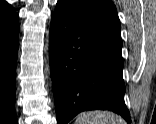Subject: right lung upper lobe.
Listing matches in <instances>:
<instances>
[{
	"label": "right lung upper lobe",
	"instance_id": "right-lung-upper-lobe-1",
	"mask_svg": "<svg viewBox=\"0 0 156 124\" xmlns=\"http://www.w3.org/2000/svg\"><path fill=\"white\" fill-rule=\"evenodd\" d=\"M18 26L17 13L14 12L7 2L0 0V29H11Z\"/></svg>",
	"mask_w": 156,
	"mask_h": 124
}]
</instances>
